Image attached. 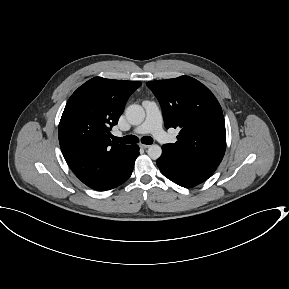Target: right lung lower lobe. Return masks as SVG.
Masks as SVG:
<instances>
[{
    "label": "right lung lower lobe",
    "instance_id": "1",
    "mask_svg": "<svg viewBox=\"0 0 289 289\" xmlns=\"http://www.w3.org/2000/svg\"><path fill=\"white\" fill-rule=\"evenodd\" d=\"M139 155V146L138 145H131L128 154H127V159L121 168L118 176L106 187L102 189H98L99 191H105V190H110L113 188L118 187L122 183H124L130 176L134 167V163L136 158Z\"/></svg>",
    "mask_w": 289,
    "mask_h": 289
}]
</instances>
